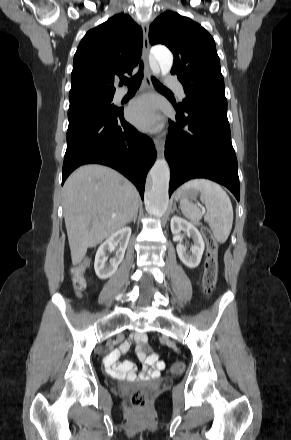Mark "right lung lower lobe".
I'll list each match as a JSON object with an SVG mask.
<instances>
[{"label": "right lung lower lobe", "instance_id": "1", "mask_svg": "<svg viewBox=\"0 0 291 440\" xmlns=\"http://www.w3.org/2000/svg\"><path fill=\"white\" fill-rule=\"evenodd\" d=\"M68 119L62 184L80 165L98 163L122 173L143 199L146 176L156 159L153 141L125 121L122 108L107 112L75 107L68 110Z\"/></svg>", "mask_w": 291, "mask_h": 440}]
</instances>
